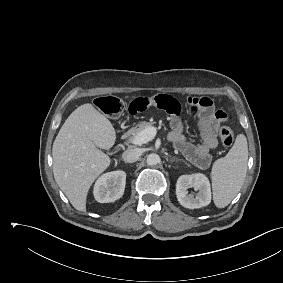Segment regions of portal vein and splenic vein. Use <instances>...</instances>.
I'll return each instance as SVG.
<instances>
[{
    "instance_id": "18ae733b",
    "label": "portal vein and splenic vein",
    "mask_w": 283,
    "mask_h": 283,
    "mask_svg": "<svg viewBox=\"0 0 283 283\" xmlns=\"http://www.w3.org/2000/svg\"><path fill=\"white\" fill-rule=\"evenodd\" d=\"M157 133L155 127H148L142 132H140L135 138L131 139V143L134 145H142L154 139Z\"/></svg>"
}]
</instances>
